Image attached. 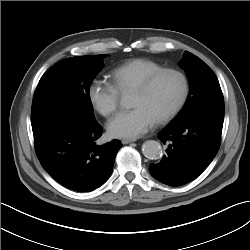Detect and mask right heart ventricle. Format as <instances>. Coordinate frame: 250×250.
<instances>
[{
  "label": "right heart ventricle",
  "mask_w": 250,
  "mask_h": 250,
  "mask_svg": "<svg viewBox=\"0 0 250 250\" xmlns=\"http://www.w3.org/2000/svg\"><path fill=\"white\" fill-rule=\"evenodd\" d=\"M155 61L136 58L117 66L110 72V80L120 93L133 91L148 75L162 69Z\"/></svg>",
  "instance_id": "obj_1"
}]
</instances>
